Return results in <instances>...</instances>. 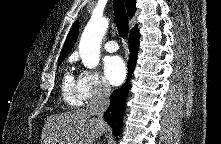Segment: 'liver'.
<instances>
[{
	"mask_svg": "<svg viewBox=\"0 0 221 144\" xmlns=\"http://www.w3.org/2000/svg\"><path fill=\"white\" fill-rule=\"evenodd\" d=\"M88 109L47 117L43 131V144H93L107 130L104 122L93 118Z\"/></svg>",
	"mask_w": 221,
	"mask_h": 144,
	"instance_id": "1",
	"label": "liver"
}]
</instances>
